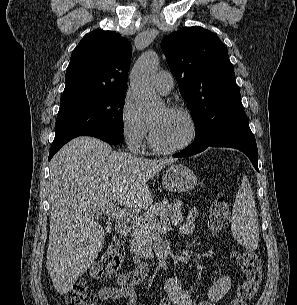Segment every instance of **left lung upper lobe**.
<instances>
[{
  "instance_id": "obj_1",
  "label": "left lung upper lobe",
  "mask_w": 297,
  "mask_h": 305,
  "mask_svg": "<svg viewBox=\"0 0 297 305\" xmlns=\"http://www.w3.org/2000/svg\"><path fill=\"white\" fill-rule=\"evenodd\" d=\"M180 93L191 111L198 142L237 115L245 114L228 52L212 32L185 27L161 42Z\"/></svg>"
}]
</instances>
